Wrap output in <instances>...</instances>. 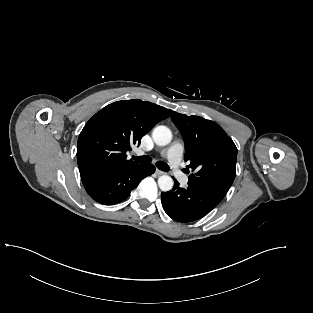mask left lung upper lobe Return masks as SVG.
Segmentation results:
<instances>
[{"label":"left lung upper lobe","mask_w":313,"mask_h":313,"mask_svg":"<svg viewBox=\"0 0 313 313\" xmlns=\"http://www.w3.org/2000/svg\"><path fill=\"white\" fill-rule=\"evenodd\" d=\"M171 119L185 142V161L195 171L188 183L222 198L236 175L237 148L215 122L171 110Z\"/></svg>","instance_id":"obj_1"}]
</instances>
